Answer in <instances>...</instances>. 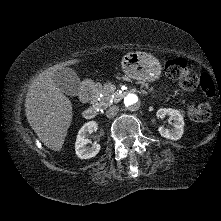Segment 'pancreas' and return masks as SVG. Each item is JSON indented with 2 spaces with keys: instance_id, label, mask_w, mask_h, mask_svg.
<instances>
[{
  "instance_id": "cf45deb5",
  "label": "pancreas",
  "mask_w": 221,
  "mask_h": 221,
  "mask_svg": "<svg viewBox=\"0 0 221 221\" xmlns=\"http://www.w3.org/2000/svg\"><path fill=\"white\" fill-rule=\"evenodd\" d=\"M145 87L149 90V92L153 91V88H148L147 86ZM114 90H115L114 85L111 82H107L104 84V87L101 90L102 97L100 98V101L98 102L99 108H107L108 106L111 105L113 101L112 94Z\"/></svg>"
}]
</instances>
